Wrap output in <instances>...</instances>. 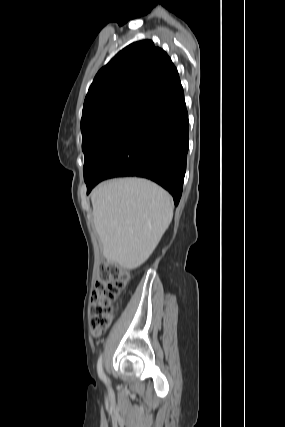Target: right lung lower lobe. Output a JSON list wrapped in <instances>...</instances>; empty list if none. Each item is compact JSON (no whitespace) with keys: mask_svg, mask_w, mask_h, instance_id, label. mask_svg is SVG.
<instances>
[{"mask_svg":"<svg viewBox=\"0 0 285 427\" xmlns=\"http://www.w3.org/2000/svg\"><path fill=\"white\" fill-rule=\"evenodd\" d=\"M188 128L179 81L147 104L86 182L88 193L104 179L139 176L168 190L178 205L186 171Z\"/></svg>","mask_w":285,"mask_h":427,"instance_id":"obj_1","label":"right lung lower lobe"}]
</instances>
